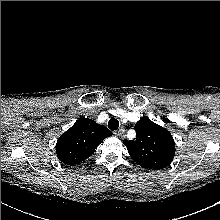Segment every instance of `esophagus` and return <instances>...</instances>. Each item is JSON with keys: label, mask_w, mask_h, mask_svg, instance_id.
<instances>
[{"label": "esophagus", "mask_w": 220, "mask_h": 220, "mask_svg": "<svg viewBox=\"0 0 220 220\" xmlns=\"http://www.w3.org/2000/svg\"><path fill=\"white\" fill-rule=\"evenodd\" d=\"M114 135L120 138H123L125 136V130L123 128L114 131Z\"/></svg>", "instance_id": "obj_1"}]
</instances>
